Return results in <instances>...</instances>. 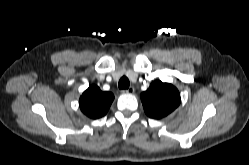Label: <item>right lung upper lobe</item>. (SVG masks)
Listing matches in <instances>:
<instances>
[{
    "mask_svg": "<svg viewBox=\"0 0 249 165\" xmlns=\"http://www.w3.org/2000/svg\"><path fill=\"white\" fill-rule=\"evenodd\" d=\"M114 95L103 92L95 85L83 92L79 99L81 111L89 118L96 119L104 116L110 108Z\"/></svg>",
    "mask_w": 249,
    "mask_h": 165,
    "instance_id": "obj_1",
    "label": "right lung upper lobe"
}]
</instances>
